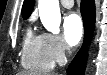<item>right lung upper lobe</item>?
Listing matches in <instances>:
<instances>
[{
	"instance_id": "right-lung-upper-lobe-1",
	"label": "right lung upper lobe",
	"mask_w": 107,
	"mask_h": 75,
	"mask_svg": "<svg viewBox=\"0 0 107 75\" xmlns=\"http://www.w3.org/2000/svg\"><path fill=\"white\" fill-rule=\"evenodd\" d=\"M34 7V0H24L22 7V16L24 19H27Z\"/></svg>"
}]
</instances>
